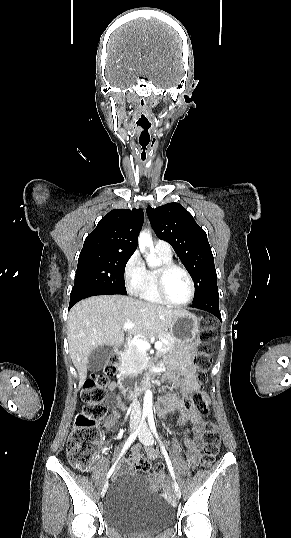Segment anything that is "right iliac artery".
I'll return each mask as SVG.
<instances>
[{
	"label": "right iliac artery",
	"mask_w": 291,
	"mask_h": 538,
	"mask_svg": "<svg viewBox=\"0 0 291 538\" xmlns=\"http://www.w3.org/2000/svg\"><path fill=\"white\" fill-rule=\"evenodd\" d=\"M146 415L145 413H143V416H142V419H141V422H140V425L138 426V428L135 430V432L133 434L130 435V437L127 439V441L125 442L122 450H121V453L118 457V460L121 458V456L124 455V453L127 451V449L131 446V444L134 442V440L136 439V436L137 434L139 433L140 431V428L142 426V424L145 422V418H146ZM118 460L113 464V466L111 467V469L109 470L108 474H107V479L111 476V474L113 473L116 465H117V462Z\"/></svg>",
	"instance_id": "right-iliac-artery-1"
}]
</instances>
